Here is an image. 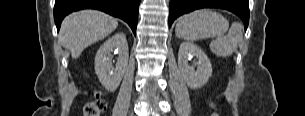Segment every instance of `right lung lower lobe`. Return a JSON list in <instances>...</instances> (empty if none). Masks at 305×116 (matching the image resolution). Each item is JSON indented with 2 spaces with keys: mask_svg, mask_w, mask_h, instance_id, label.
Wrapping results in <instances>:
<instances>
[{
  "mask_svg": "<svg viewBox=\"0 0 305 116\" xmlns=\"http://www.w3.org/2000/svg\"><path fill=\"white\" fill-rule=\"evenodd\" d=\"M139 3L140 0H55V24L59 31L66 15L80 9L92 8L123 19L136 35Z\"/></svg>",
  "mask_w": 305,
  "mask_h": 116,
  "instance_id": "right-lung-lower-lobe-1",
  "label": "right lung lower lobe"
}]
</instances>
